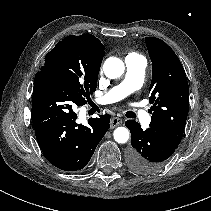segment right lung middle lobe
I'll return each instance as SVG.
<instances>
[{"label": "right lung middle lobe", "instance_id": "1", "mask_svg": "<svg viewBox=\"0 0 211 211\" xmlns=\"http://www.w3.org/2000/svg\"><path fill=\"white\" fill-rule=\"evenodd\" d=\"M99 70L93 52L69 35L47 53L36 76L58 81L88 99L96 90Z\"/></svg>", "mask_w": 211, "mask_h": 211}]
</instances>
